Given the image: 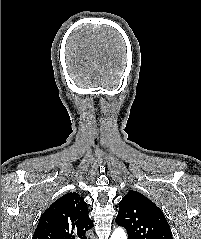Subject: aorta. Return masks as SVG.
Listing matches in <instances>:
<instances>
[{"label": "aorta", "mask_w": 201, "mask_h": 239, "mask_svg": "<svg viewBox=\"0 0 201 239\" xmlns=\"http://www.w3.org/2000/svg\"><path fill=\"white\" fill-rule=\"evenodd\" d=\"M110 239H127V235L124 229L119 227L113 231Z\"/></svg>", "instance_id": "1"}]
</instances>
